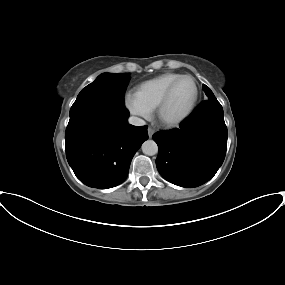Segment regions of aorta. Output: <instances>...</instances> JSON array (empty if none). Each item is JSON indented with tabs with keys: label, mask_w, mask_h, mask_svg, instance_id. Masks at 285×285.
Returning a JSON list of instances; mask_svg holds the SVG:
<instances>
[{
	"label": "aorta",
	"mask_w": 285,
	"mask_h": 285,
	"mask_svg": "<svg viewBox=\"0 0 285 285\" xmlns=\"http://www.w3.org/2000/svg\"><path fill=\"white\" fill-rule=\"evenodd\" d=\"M142 152L145 155L153 156L158 153V146L155 141L147 140L142 144Z\"/></svg>",
	"instance_id": "762f6f07"
}]
</instances>
